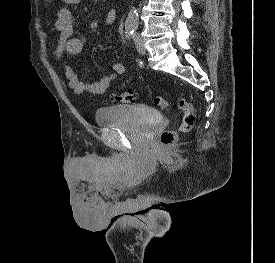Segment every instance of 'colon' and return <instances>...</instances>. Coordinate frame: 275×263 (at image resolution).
<instances>
[{
    "mask_svg": "<svg viewBox=\"0 0 275 263\" xmlns=\"http://www.w3.org/2000/svg\"><path fill=\"white\" fill-rule=\"evenodd\" d=\"M47 3L52 2V0H45ZM111 101L113 103H132L136 99V93L134 90L130 89L121 93H113L111 95ZM154 103L160 108H166L168 102L165 98L161 96L154 97ZM178 107L183 112V118L179 126V132L190 131L195 123L196 116L192 103L186 98H180L178 101ZM177 130H166L161 133L159 137L158 144L160 146H172L176 143L178 137Z\"/></svg>",
    "mask_w": 275,
    "mask_h": 263,
    "instance_id": "1",
    "label": "colon"
}]
</instances>
